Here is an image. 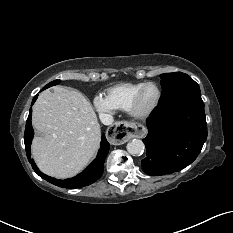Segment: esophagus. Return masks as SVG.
Returning <instances> with one entry per match:
<instances>
[{"label": "esophagus", "mask_w": 233, "mask_h": 233, "mask_svg": "<svg viewBox=\"0 0 233 233\" xmlns=\"http://www.w3.org/2000/svg\"><path fill=\"white\" fill-rule=\"evenodd\" d=\"M145 133V128L141 124L120 121L116 122L113 128L106 131L105 138L112 144H122L128 141L129 138H141Z\"/></svg>", "instance_id": "esophagus-1"}]
</instances>
